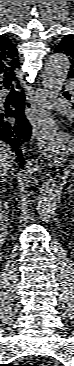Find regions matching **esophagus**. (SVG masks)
I'll list each match as a JSON object with an SVG mask.
<instances>
[{"instance_id":"obj_1","label":"esophagus","mask_w":74,"mask_h":366,"mask_svg":"<svg viewBox=\"0 0 74 366\" xmlns=\"http://www.w3.org/2000/svg\"><path fill=\"white\" fill-rule=\"evenodd\" d=\"M46 104V96L41 88H37L32 95L27 96L25 111L40 148H45L49 143L48 137L52 131L49 126L51 118L46 110Z\"/></svg>"}]
</instances>
